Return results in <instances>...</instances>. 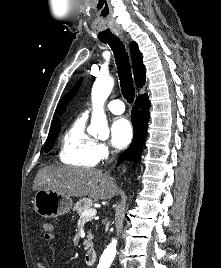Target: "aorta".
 Here are the masks:
<instances>
[{
  "mask_svg": "<svg viewBox=\"0 0 221 268\" xmlns=\"http://www.w3.org/2000/svg\"><path fill=\"white\" fill-rule=\"evenodd\" d=\"M114 86L112 77H98L94 82L91 92L93 112L91 124L88 128L90 134L98 135L99 138L108 137L109 129L106 115L104 113V103L110 95ZM116 254V240H113L103 253L102 261L111 263Z\"/></svg>",
  "mask_w": 221,
  "mask_h": 268,
  "instance_id": "obj_1",
  "label": "aorta"
}]
</instances>
